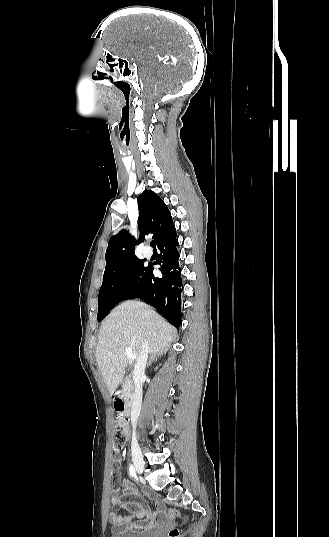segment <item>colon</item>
<instances>
[{"mask_svg": "<svg viewBox=\"0 0 329 537\" xmlns=\"http://www.w3.org/2000/svg\"><path fill=\"white\" fill-rule=\"evenodd\" d=\"M119 413V412H117ZM117 418L119 420H124L120 415L117 414ZM126 441H127V434L126 432L121 429V428H117L114 430V433H113V450L115 452H119L121 451L125 444H126ZM181 516V513L180 511L178 510H171L169 512V517L171 519H178L180 518ZM169 537H177L178 536V531L176 529H172L170 530L169 534H168Z\"/></svg>", "mask_w": 329, "mask_h": 537, "instance_id": "5ec220e1", "label": "colon"}]
</instances>
